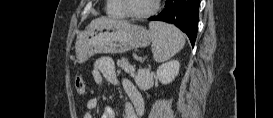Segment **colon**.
<instances>
[{"instance_id": "obj_1", "label": "colon", "mask_w": 273, "mask_h": 118, "mask_svg": "<svg viewBox=\"0 0 273 118\" xmlns=\"http://www.w3.org/2000/svg\"><path fill=\"white\" fill-rule=\"evenodd\" d=\"M75 91L78 95H84L85 93V82L82 77H77L74 82Z\"/></svg>"}]
</instances>
